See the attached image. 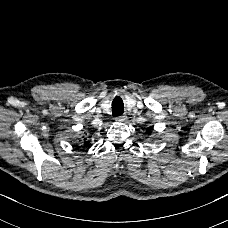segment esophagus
<instances>
[{"mask_svg":"<svg viewBox=\"0 0 228 228\" xmlns=\"http://www.w3.org/2000/svg\"><path fill=\"white\" fill-rule=\"evenodd\" d=\"M126 115H120V116H118V117H116V121L117 122H123V121H125L126 120Z\"/></svg>","mask_w":228,"mask_h":228,"instance_id":"1","label":"esophagus"}]
</instances>
